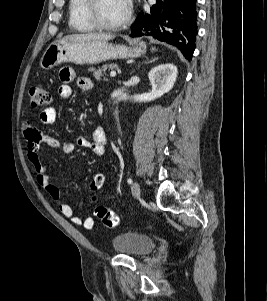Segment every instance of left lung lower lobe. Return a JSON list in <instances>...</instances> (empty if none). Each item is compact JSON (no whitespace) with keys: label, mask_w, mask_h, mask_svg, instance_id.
I'll list each match as a JSON object with an SVG mask.
<instances>
[{"label":"left lung lower lobe","mask_w":267,"mask_h":301,"mask_svg":"<svg viewBox=\"0 0 267 301\" xmlns=\"http://www.w3.org/2000/svg\"><path fill=\"white\" fill-rule=\"evenodd\" d=\"M151 14L139 13L131 37L149 36L176 46L192 59L197 35L196 0H157Z\"/></svg>","instance_id":"obj_1"}]
</instances>
